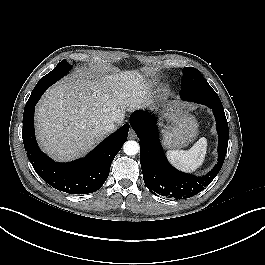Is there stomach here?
<instances>
[{
  "label": "stomach",
  "mask_w": 265,
  "mask_h": 265,
  "mask_svg": "<svg viewBox=\"0 0 265 265\" xmlns=\"http://www.w3.org/2000/svg\"><path fill=\"white\" fill-rule=\"evenodd\" d=\"M152 99L164 104L165 95L156 90L151 93ZM164 118L166 125L163 129V145L168 149L181 148L194 140L198 133V125L195 118L186 113L178 105L165 107Z\"/></svg>",
  "instance_id": "1"
}]
</instances>
